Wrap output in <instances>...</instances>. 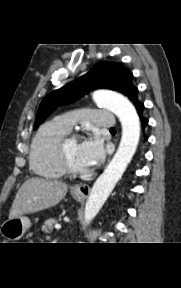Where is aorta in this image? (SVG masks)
I'll return each mask as SVG.
<instances>
[{
    "label": "aorta",
    "instance_id": "obj_1",
    "mask_svg": "<svg viewBox=\"0 0 181 288\" xmlns=\"http://www.w3.org/2000/svg\"><path fill=\"white\" fill-rule=\"evenodd\" d=\"M95 103L113 112L122 125V137L111 162L94 183L85 205V224H89L114 189L132 160L140 139V121L132 103L124 96L109 92L93 93Z\"/></svg>",
    "mask_w": 181,
    "mask_h": 288
}]
</instances>
